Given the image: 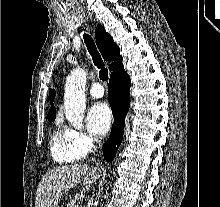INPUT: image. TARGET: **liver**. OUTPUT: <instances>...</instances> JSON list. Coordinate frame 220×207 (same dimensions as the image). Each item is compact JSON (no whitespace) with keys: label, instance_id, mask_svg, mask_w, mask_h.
I'll return each mask as SVG.
<instances>
[{"label":"liver","instance_id":"6515ba94","mask_svg":"<svg viewBox=\"0 0 220 207\" xmlns=\"http://www.w3.org/2000/svg\"><path fill=\"white\" fill-rule=\"evenodd\" d=\"M101 169L87 164L63 165L46 172L36 191L35 207H58L61 197L80 182L89 185L99 179Z\"/></svg>","mask_w":220,"mask_h":207}]
</instances>
